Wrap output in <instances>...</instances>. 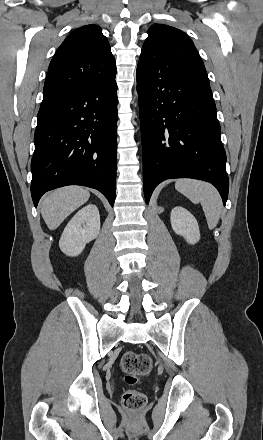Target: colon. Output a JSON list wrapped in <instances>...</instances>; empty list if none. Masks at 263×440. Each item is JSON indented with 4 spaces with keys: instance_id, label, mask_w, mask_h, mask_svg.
Wrapping results in <instances>:
<instances>
[{
    "instance_id": "obj_1",
    "label": "colon",
    "mask_w": 263,
    "mask_h": 440,
    "mask_svg": "<svg viewBox=\"0 0 263 440\" xmlns=\"http://www.w3.org/2000/svg\"><path fill=\"white\" fill-rule=\"evenodd\" d=\"M121 366L125 373V383L133 387L139 377L147 375L152 368V358L143 352L128 351L121 359ZM122 406L129 412H140L147 405L146 395L134 388H128L122 393Z\"/></svg>"
}]
</instances>
